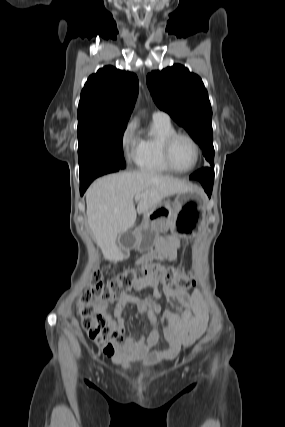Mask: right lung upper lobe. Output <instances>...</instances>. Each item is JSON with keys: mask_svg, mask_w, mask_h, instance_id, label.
I'll list each match as a JSON object with an SVG mask.
<instances>
[{"mask_svg": "<svg viewBox=\"0 0 285 427\" xmlns=\"http://www.w3.org/2000/svg\"><path fill=\"white\" fill-rule=\"evenodd\" d=\"M138 94L134 73L105 66L91 75L81 92L78 121H128Z\"/></svg>", "mask_w": 285, "mask_h": 427, "instance_id": "1", "label": "right lung upper lobe"}]
</instances>
